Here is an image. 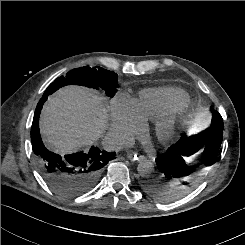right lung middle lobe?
<instances>
[{
    "instance_id": "right-lung-middle-lobe-1",
    "label": "right lung middle lobe",
    "mask_w": 245,
    "mask_h": 245,
    "mask_svg": "<svg viewBox=\"0 0 245 245\" xmlns=\"http://www.w3.org/2000/svg\"><path fill=\"white\" fill-rule=\"evenodd\" d=\"M117 77V74L114 72L101 67L73 69L68 72L66 76H61L52 82L43 96L52 94L63 86L75 84L92 87L94 89H102L108 97H113L118 85Z\"/></svg>"
}]
</instances>
